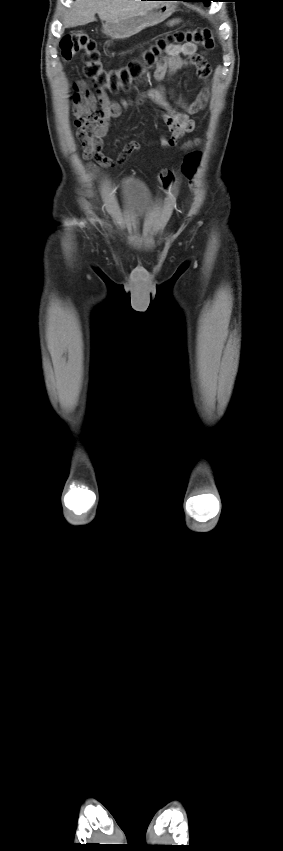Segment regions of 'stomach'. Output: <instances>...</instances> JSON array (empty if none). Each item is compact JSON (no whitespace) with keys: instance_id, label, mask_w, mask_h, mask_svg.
<instances>
[{"instance_id":"0dacf381","label":"stomach","mask_w":283,"mask_h":851,"mask_svg":"<svg viewBox=\"0 0 283 851\" xmlns=\"http://www.w3.org/2000/svg\"><path fill=\"white\" fill-rule=\"evenodd\" d=\"M175 8L176 5L173 2H156L152 7L131 17L106 22L103 25V31L113 39H126L147 27L163 22L171 16Z\"/></svg>"}]
</instances>
